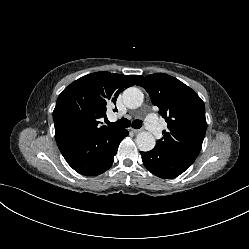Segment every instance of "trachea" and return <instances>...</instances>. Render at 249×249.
<instances>
[{"label": "trachea", "mask_w": 249, "mask_h": 249, "mask_svg": "<svg viewBox=\"0 0 249 249\" xmlns=\"http://www.w3.org/2000/svg\"><path fill=\"white\" fill-rule=\"evenodd\" d=\"M107 125L112 126V127H121V128H126L132 126L135 129H139L142 127V121L141 120H134L131 124L130 120L126 118H122L114 123H111L109 121H106Z\"/></svg>", "instance_id": "obj_1"}]
</instances>
